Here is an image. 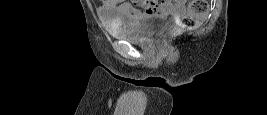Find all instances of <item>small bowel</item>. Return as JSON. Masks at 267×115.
<instances>
[{
	"label": "small bowel",
	"instance_id": "1",
	"mask_svg": "<svg viewBox=\"0 0 267 115\" xmlns=\"http://www.w3.org/2000/svg\"><path fill=\"white\" fill-rule=\"evenodd\" d=\"M135 6L131 3H121L118 5L117 1L106 0L103 2V9H112L117 7L124 16L129 19H137L144 14H162L179 16L183 13L185 6L182 2H154V1H135Z\"/></svg>",
	"mask_w": 267,
	"mask_h": 115
}]
</instances>
